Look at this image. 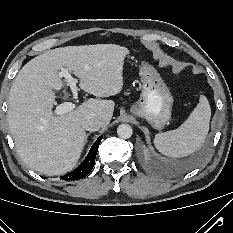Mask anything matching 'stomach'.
Listing matches in <instances>:
<instances>
[{"instance_id":"stomach-1","label":"stomach","mask_w":233,"mask_h":233,"mask_svg":"<svg viewBox=\"0 0 233 233\" xmlns=\"http://www.w3.org/2000/svg\"><path fill=\"white\" fill-rule=\"evenodd\" d=\"M139 74L142 82L141 95L130 111L146 119L154 128L160 129L171 117L173 97L157 69L149 62L143 61L139 65Z\"/></svg>"}]
</instances>
